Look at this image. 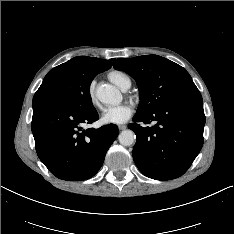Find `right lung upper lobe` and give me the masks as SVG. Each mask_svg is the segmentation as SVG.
I'll use <instances>...</instances> for the list:
<instances>
[{"label":"right lung upper lobe","instance_id":"obj_1","mask_svg":"<svg viewBox=\"0 0 234 234\" xmlns=\"http://www.w3.org/2000/svg\"><path fill=\"white\" fill-rule=\"evenodd\" d=\"M72 60L85 71L101 73L110 69L115 59L104 60L95 57L78 56Z\"/></svg>","mask_w":234,"mask_h":234}]
</instances>
